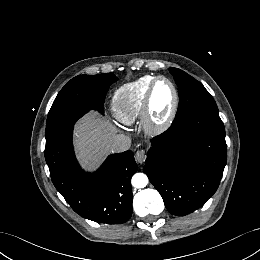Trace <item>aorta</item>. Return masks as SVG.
<instances>
[{
    "label": "aorta",
    "mask_w": 260,
    "mask_h": 260,
    "mask_svg": "<svg viewBox=\"0 0 260 260\" xmlns=\"http://www.w3.org/2000/svg\"><path fill=\"white\" fill-rule=\"evenodd\" d=\"M134 188H144L148 184V177L144 173H136L131 180Z\"/></svg>",
    "instance_id": "aorta-1"
}]
</instances>
